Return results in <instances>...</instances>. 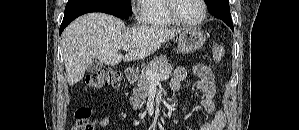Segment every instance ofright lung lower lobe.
Segmentation results:
<instances>
[{
	"mask_svg": "<svg viewBox=\"0 0 299 130\" xmlns=\"http://www.w3.org/2000/svg\"><path fill=\"white\" fill-rule=\"evenodd\" d=\"M89 12L108 13L123 19H128V17L130 16L129 14H126L123 11L118 10L116 8L103 6L99 4H91V3L67 4L65 7L64 18L60 26V34L71 21H73L78 16Z\"/></svg>",
	"mask_w": 299,
	"mask_h": 130,
	"instance_id": "obj_1",
	"label": "right lung lower lobe"
}]
</instances>
